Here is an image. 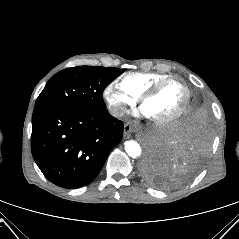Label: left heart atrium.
Instances as JSON below:
<instances>
[{
  "instance_id": "39dd6f15",
  "label": "left heart atrium",
  "mask_w": 239,
  "mask_h": 239,
  "mask_svg": "<svg viewBox=\"0 0 239 239\" xmlns=\"http://www.w3.org/2000/svg\"><path fill=\"white\" fill-rule=\"evenodd\" d=\"M139 113L147 116L146 112L144 111V109L142 107H141L140 111H137V110L135 111V114H139Z\"/></svg>"
}]
</instances>
